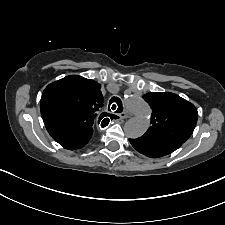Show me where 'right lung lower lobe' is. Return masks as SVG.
Returning <instances> with one entry per match:
<instances>
[{"label":"right lung lower lobe","mask_w":225,"mask_h":225,"mask_svg":"<svg viewBox=\"0 0 225 225\" xmlns=\"http://www.w3.org/2000/svg\"><path fill=\"white\" fill-rule=\"evenodd\" d=\"M45 126L51 137L67 150L84 147L93 133V130L78 125L47 123Z\"/></svg>","instance_id":"98d812e1"}]
</instances>
